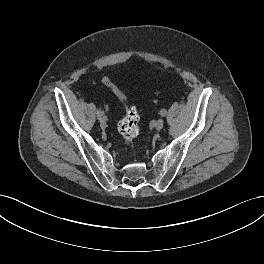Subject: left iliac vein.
<instances>
[{
    "label": "left iliac vein",
    "instance_id": "1",
    "mask_svg": "<svg viewBox=\"0 0 264 264\" xmlns=\"http://www.w3.org/2000/svg\"><path fill=\"white\" fill-rule=\"evenodd\" d=\"M164 121L163 119H158L155 123V128L157 131H160L163 128Z\"/></svg>",
    "mask_w": 264,
    "mask_h": 264
}]
</instances>
